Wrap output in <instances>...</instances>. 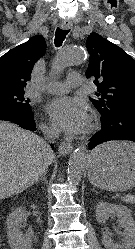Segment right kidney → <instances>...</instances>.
<instances>
[{
    "mask_svg": "<svg viewBox=\"0 0 135 249\" xmlns=\"http://www.w3.org/2000/svg\"><path fill=\"white\" fill-rule=\"evenodd\" d=\"M37 208L35 205L31 206ZM27 220L25 208H16L7 218V236L11 249H31L33 231L28 230L25 234L21 232V227ZM23 224V225H22Z\"/></svg>",
    "mask_w": 135,
    "mask_h": 249,
    "instance_id": "ca27d5eb",
    "label": "right kidney"
}]
</instances>
